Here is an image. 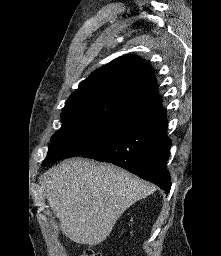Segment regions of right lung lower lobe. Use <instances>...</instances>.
<instances>
[{
  "mask_svg": "<svg viewBox=\"0 0 221 256\" xmlns=\"http://www.w3.org/2000/svg\"><path fill=\"white\" fill-rule=\"evenodd\" d=\"M166 130L167 117L162 114L110 136L81 156L113 163L169 192L166 164L171 141Z\"/></svg>",
  "mask_w": 221,
  "mask_h": 256,
  "instance_id": "1",
  "label": "right lung lower lobe"
}]
</instances>
